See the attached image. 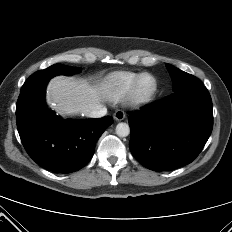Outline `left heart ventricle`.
Instances as JSON below:
<instances>
[{
	"instance_id": "obj_1",
	"label": "left heart ventricle",
	"mask_w": 232,
	"mask_h": 232,
	"mask_svg": "<svg viewBox=\"0 0 232 232\" xmlns=\"http://www.w3.org/2000/svg\"><path fill=\"white\" fill-rule=\"evenodd\" d=\"M149 85V81L148 80H145L144 83H143V86L144 87H147Z\"/></svg>"
}]
</instances>
